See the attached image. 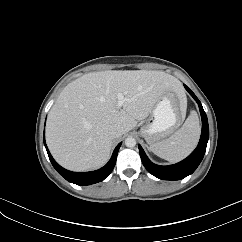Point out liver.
<instances>
[{
    "mask_svg": "<svg viewBox=\"0 0 242 242\" xmlns=\"http://www.w3.org/2000/svg\"><path fill=\"white\" fill-rule=\"evenodd\" d=\"M170 91L186 101L179 80L162 71L108 70L77 78L63 89L49 112L46 141L50 152L69 170L101 167L115 139L111 127L129 132ZM118 93L128 99L122 108L117 107Z\"/></svg>",
    "mask_w": 242,
    "mask_h": 242,
    "instance_id": "liver-1",
    "label": "liver"
}]
</instances>
